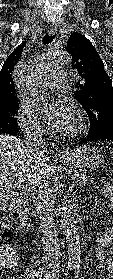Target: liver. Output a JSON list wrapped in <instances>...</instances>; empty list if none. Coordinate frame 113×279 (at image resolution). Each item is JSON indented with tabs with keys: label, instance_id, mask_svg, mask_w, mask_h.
Listing matches in <instances>:
<instances>
[{
	"label": "liver",
	"instance_id": "1",
	"mask_svg": "<svg viewBox=\"0 0 113 279\" xmlns=\"http://www.w3.org/2000/svg\"><path fill=\"white\" fill-rule=\"evenodd\" d=\"M50 167L47 159L36 155L15 136L0 134V211L8 206L13 197V184L18 178L31 187L41 177L49 179Z\"/></svg>",
	"mask_w": 113,
	"mask_h": 279
}]
</instances>
